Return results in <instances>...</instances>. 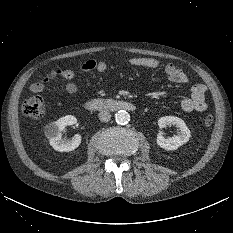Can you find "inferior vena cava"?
<instances>
[{
    "label": "inferior vena cava",
    "instance_id": "1",
    "mask_svg": "<svg viewBox=\"0 0 233 233\" xmlns=\"http://www.w3.org/2000/svg\"><path fill=\"white\" fill-rule=\"evenodd\" d=\"M111 119V114L108 110H102L99 113V120L101 122H108Z\"/></svg>",
    "mask_w": 233,
    "mask_h": 233
}]
</instances>
